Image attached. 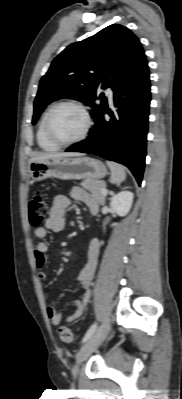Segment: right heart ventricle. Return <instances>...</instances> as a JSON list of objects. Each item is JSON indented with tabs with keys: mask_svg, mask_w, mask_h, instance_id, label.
I'll return each mask as SVG.
<instances>
[{
	"mask_svg": "<svg viewBox=\"0 0 182 399\" xmlns=\"http://www.w3.org/2000/svg\"><path fill=\"white\" fill-rule=\"evenodd\" d=\"M49 109L46 110V112L43 114V116L40 119V122H39L38 128H37L36 138H37V143L41 149H43L45 151H55L58 149L59 146L52 143L47 138L46 133H45V120H46V116H47Z\"/></svg>",
	"mask_w": 182,
	"mask_h": 399,
	"instance_id": "e07e8e85",
	"label": "right heart ventricle"
}]
</instances>
